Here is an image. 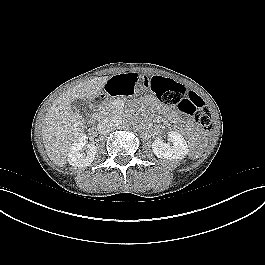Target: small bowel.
Listing matches in <instances>:
<instances>
[{"instance_id":"1","label":"small bowel","mask_w":265,"mask_h":265,"mask_svg":"<svg viewBox=\"0 0 265 265\" xmlns=\"http://www.w3.org/2000/svg\"><path fill=\"white\" fill-rule=\"evenodd\" d=\"M142 82V76L139 73L133 72L112 77L106 83V87L110 93L117 94V89H119L120 87L129 86L130 88L136 89L142 85ZM163 111L171 117L176 116L175 111H170L165 108L163 109Z\"/></svg>"}]
</instances>
